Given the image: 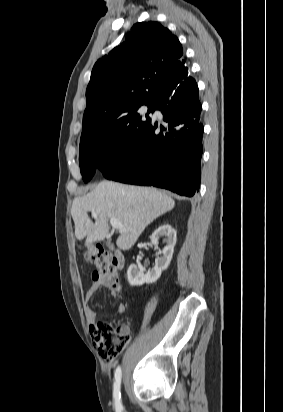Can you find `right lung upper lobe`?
Masks as SVG:
<instances>
[{"mask_svg":"<svg viewBox=\"0 0 283 412\" xmlns=\"http://www.w3.org/2000/svg\"><path fill=\"white\" fill-rule=\"evenodd\" d=\"M189 76L175 35L157 22L135 24L126 41L93 67L81 138L108 130L137 105L156 104L167 88Z\"/></svg>","mask_w":283,"mask_h":412,"instance_id":"cb5924a9","label":"right lung upper lobe"}]
</instances>
